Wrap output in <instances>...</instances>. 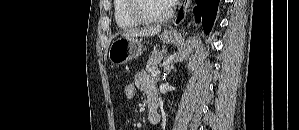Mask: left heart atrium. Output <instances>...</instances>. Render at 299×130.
<instances>
[{
    "mask_svg": "<svg viewBox=\"0 0 299 130\" xmlns=\"http://www.w3.org/2000/svg\"><path fill=\"white\" fill-rule=\"evenodd\" d=\"M169 5H173L177 2V0H167Z\"/></svg>",
    "mask_w": 299,
    "mask_h": 130,
    "instance_id": "39dd6f15",
    "label": "left heart atrium"
}]
</instances>
